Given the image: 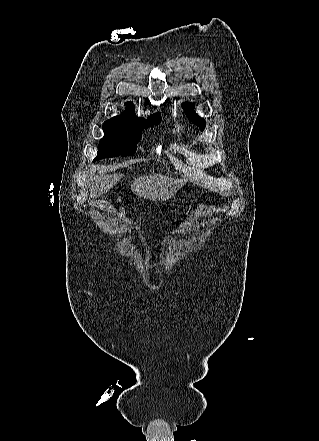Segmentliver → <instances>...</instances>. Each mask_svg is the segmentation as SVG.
<instances>
[{
    "label": "liver",
    "mask_w": 319,
    "mask_h": 441,
    "mask_svg": "<svg viewBox=\"0 0 319 441\" xmlns=\"http://www.w3.org/2000/svg\"><path fill=\"white\" fill-rule=\"evenodd\" d=\"M123 176L122 173L107 174L96 178L94 176L90 184L91 196L97 198L107 193ZM184 182L183 179H174L162 174L141 175L134 177L131 190L139 197L153 201H166L181 189Z\"/></svg>",
    "instance_id": "6515ba94"
}]
</instances>
